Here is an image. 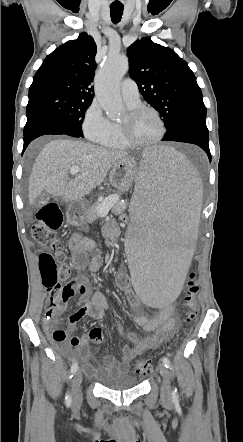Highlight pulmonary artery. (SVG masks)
Here are the masks:
<instances>
[{
    "mask_svg": "<svg viewBox=\"0 0 243 442\" xmlns=\"http://www.w3.org/2000/svg\"><path fill=\"white\" fill-rule=\"evenodd\" d=\"M121 93L127 104L137 105L140 103L138 86L134 80L125 79L121 84Z\"/></svg>",
    "mask_w": 243,
    "mask_h": 442,
    "instance_id": "obj_1",
    "label": "pulmonary artery"
}]
</instances>
